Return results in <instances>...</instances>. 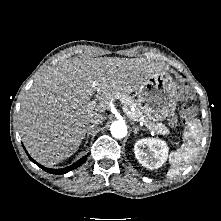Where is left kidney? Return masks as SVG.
<instances>
[{"label": "left kidney", "instance_id": "left-kidney-1", "mask_svg": "<svg viewBox=\"0 0 221 221\" xmlns=\"http://www.w3.org/2000/svg\"><path fill=\"white\" fill-rule=\"evenodd\" d=\"M168 149L165 141L155 138H142L134 145L138 162L150 170L158 169L165 163Z\"/></svg>", "mask_w": 221, "mask_h": 221}]
</instances>
